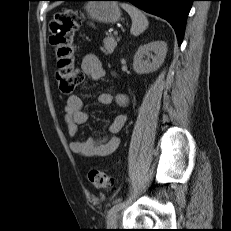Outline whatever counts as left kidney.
I'll use <instances>...</instances> for the list:
<instances>
[{
	"mask_svg": "<svg viewBox=\"0 0 231 231\" xmlns=\"http://www.w3.org/2000/svg\"><path fill=\"white\" fill-rule=\"evenodd\" d=\"M152 52L155 55H153ZM166 53L167 44L164 41H152L140 46L133 60L135 72L144 74L156 71L163 64ZM145 57L146 59H144Z\"/></svg>",
	"mask_w": 231,
	"mask_h": 231,
	"instance_id": "1",
	"label": "left kidney"
}]
</instances>
